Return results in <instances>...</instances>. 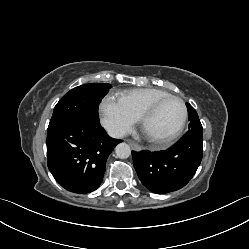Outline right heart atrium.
Masks as SVG:
<instances>
[{
  "label": "right heart atrium",
  "mask_w": 249,
  "mask_h": 249,
  "mask_svg": "<svg viewBox=\"0 0 249 249\" xmlns=\"http://www.w3.org/2000/svg\"><path fill=\"white\" fill-rule=\"evenodd\" d=\"M100 120L114 136L122 137L137 123L138 117L117 97L106 95L99 103Z\"/></svg>",
  "instance_id": "1"
}]
</instances>
